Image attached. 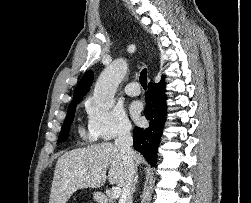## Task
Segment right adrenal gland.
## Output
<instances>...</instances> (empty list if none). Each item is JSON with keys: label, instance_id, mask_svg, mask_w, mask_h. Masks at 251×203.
Segmentation results:
<instances>
[{"label": "right adrenal gland", "instance_id": "1", "mask_svg": "<svg viewBox=\"0 0 251 203\" xmlns=\"http://www.w3.org/2000/svg\"><path fill=\"white\" fill-rule=\"evenodd\" d=\"M138 182V176L135 177V180H134V185H133V192H135L136 190V184Z\"/></svg>", "mask_w": 251, "mask_h": 203}]
</instances>
